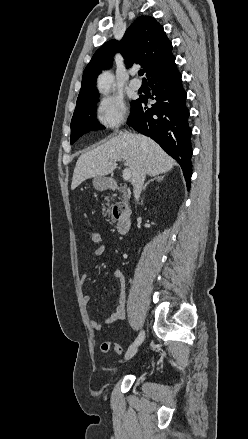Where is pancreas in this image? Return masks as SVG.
<instances>
[{
	"mask_svg": "<svg viewBox=\"0 0 248 439\" xmlns=\"http://www.w3.org/2000/svg\"><path fill=\"white\" fill-rule=\"evenodd\" d=\"M120 189V192H122L123 193V195H122V197H123V202L125 203V204H128V201H129V199H130V194L126 191V189L125 188H123V187H120L119 188ZM107 199V198H106Z\"/></svg>",
	"mask_w": 248,
	"mask_h": 439,
	"instance_id": "pancreas-1",
	"label": "pancreas"
}]
</instances>
